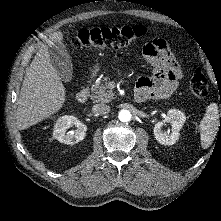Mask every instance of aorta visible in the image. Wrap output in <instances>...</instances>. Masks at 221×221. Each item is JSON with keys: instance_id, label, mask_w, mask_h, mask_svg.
I'll return each instance as SVG.
<instances>
[{"instance_id": "aorta-1", "label": "aorta", "mask_w": 221, "mask_h": 221, "mask_svg": "<svg viewBox=\"0 0 221 221\" xmlns=\"http://www.w3.org/2000/svg\"><path fill=\"white\" fill-rule=\"evenodd\" d=\"M118 118L121 122H129L132 118V115L128 110H121L119 112Z\"/></svg>"}]
</instances>
